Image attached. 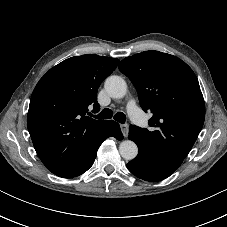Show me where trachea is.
Here are the masks:
<instances>
[{"label":"trachea","instance_id":"obj_1","mask_svg":"<svg viewBox=\"0 0 227 227\" xmlns=\"http://www.w3.org/2000/svg\"><path fill=\"white\" fill-rule=\"evenodd\" d=\"M113 116L112 110L105 108L97 116V119H111ZM117 122L124 124L126 121V116L123 112H117L113 117Z\"/></svg>","mask_w":227,"mask_h":227}]
</instances>
